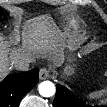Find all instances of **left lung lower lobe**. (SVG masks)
<instances>
[{
    "label": "left lung lower lobe",
    "instance_id": "1",
    "mask_svg": "<svg viewBox=\"0 0 107 107\" xmlns=\"http://www.w3.org/2000/svg\"><path fill=\"white\" fill-rule=\"evenodd\" d=\"M89 107L69 89L57 84L53 107Z\"/></svg>",
    "mask_w": 107,
    "mask_h": 107
}]
</instances>
